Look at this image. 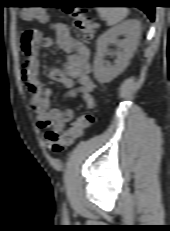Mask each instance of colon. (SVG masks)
I'll use <instances>...</instances> for the list:
<instances>
[{
	"label": "colon",
	"mask_w": 170,
	"mask_h": 231,
	"mask_svg": "<svg viewBox=\"0 0 170 231\" xmlns=\"http://www.w3.org/2000/svg\"><path fill=\"white\" fill-rule=\"evenodd\" d=\"M68 14L72 19L73 27L80 32L85 39H92L95 34L96 23L86 16V10L73 8L68 11ZM22 17L27 21H37L41 23L48 20L47 13L41 8L24 9ZM92 122V115L84 113L72 121L63 132L48 131L45 134L46 147L54 153L62 152L77 139L81 138Z\"/></svg>",
	"instance_id": "obj_1"
}]
</instances>
